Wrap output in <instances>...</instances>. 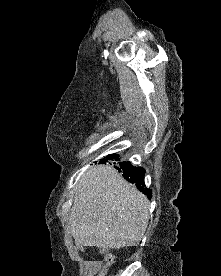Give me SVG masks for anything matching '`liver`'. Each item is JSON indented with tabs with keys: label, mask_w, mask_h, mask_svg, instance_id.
<instances>
[{
	"label": "liver",
	"mask_w": 221,
	"mask_h": 276,
	"mask_svg": "<svg viewBox=\"0 0 221 276\" xmlns=\"http://www.w3.org/2000/svg\"><path fill=\"white\" fill-rule=\"evenodd\" d=\"M148 219L147 198L113 167L93 166L80 177L69 220L77 246L102 250L134 246Z\"/></svg>",
	"instance_id": "1"
}]
</instances>
